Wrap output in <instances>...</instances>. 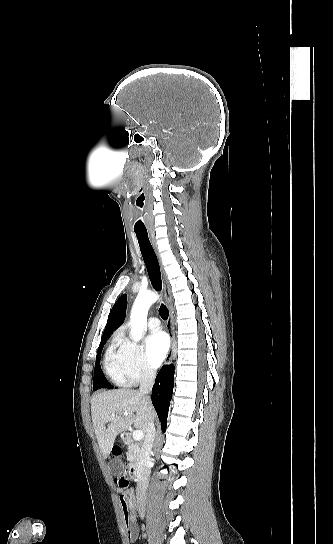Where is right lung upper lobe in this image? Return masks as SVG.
Segmentation results:
<instances>
[{
    "mask_svg": "<svg viewBox=\"0 0 333 544\" xmlns=\"http://www.w3.org/2000/svg\"><path fill=\"white\" fill-rule=\"evenodd\" d=\"M127 298L126 294L122 295L112 307L107 324L102 335V339L108 338L112 332L124 322L126 315Z\"/></svg>",
    "mask_w": 333,
    "mask_h": 544,
    "instance_id": "1",
    "label": "right lung upper lobe"
}]
</instances>
